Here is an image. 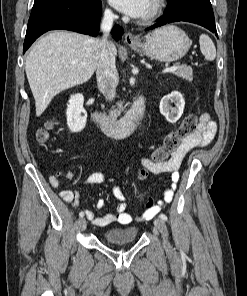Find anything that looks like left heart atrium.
Listing matches in <instances>:
<instances>
[{"mask_svg": "<svg viewBox=\"0 0 247 296\" xmlns=\"http://www.w3.org/2000/svg\"><path fill=\"white\" fill-rule=\"evenodd\" d=\"M152 0H110V2L121 12L133 17H143Z\"/></svg>", "mask_w": 247, "mask_h": 296, "instance_id": "obj_1", "label": "left heart atrium"}]
</instances>
